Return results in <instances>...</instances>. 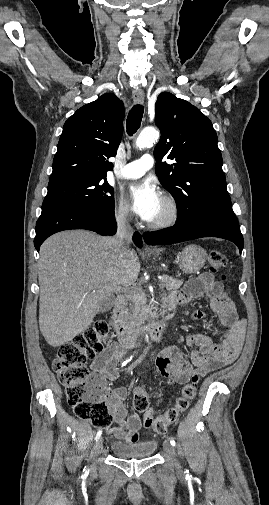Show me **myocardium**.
Wrapping results in <instances>:
<instances>
[{"mask_svg":"<svg viewBox=\"0 0 269 505\" xmlns=\"http://www.w3.org/2000/svg\"><path fill=\"white\" fill-rule=\"evenodd\" d=\"M162 200L168 207V214L163 219L157 221H147L146 225L148 228L160 230L169 228L177 223L180 216V208L177 201L173 196L167 193L162 195Z\"/></svg>","mask_w":269,"mask_h":505,"instance_id":"myocardium-1","label":"myocardium"}]
</instances>
